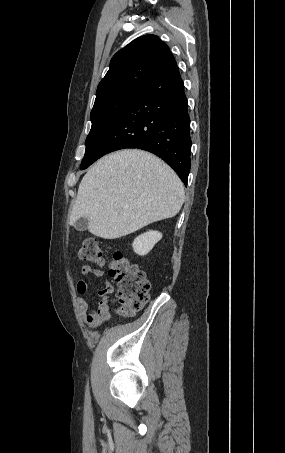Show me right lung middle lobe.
<instances>
[{
    "mask_svg": "<svg viewBox=\"0 0 285 453\" xmlns=\"http://www.w3.org/2000/svg\"><path fill=\"white\" fill-rule=\"evenodd\" d=\"M136 92L121 94L93 107L90 114L92 127L86 138V150L81 162V170L95 161L98 150Z\"/></svg>",
    "mask_w": 285,
    "mask_h": 453,
    "instance_id": "obj_1",
    "label": "right lung middle lobe"
}]
</instances>
